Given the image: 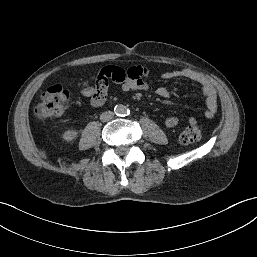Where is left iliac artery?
<instances>
[{
  "instance_id": "44dca946",
  "label": "left iliac artery",
  "mask_w": 257,
  "mask_h": 257,
  "mask_svg": "<svg viewBox=\"0 0 257 257\" xmlns=\"http://www.w3.org/2000/svg\"><path fill=\"white\" fill-rule=\"evenodd\" d=\"M129 114H130V111L128 110V111H127V115H129Z\"/></svg>"
}]
</instances>
